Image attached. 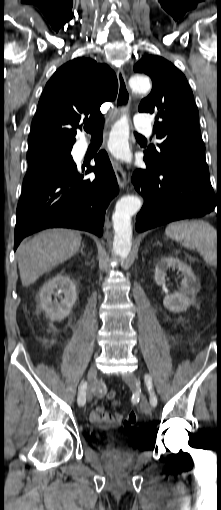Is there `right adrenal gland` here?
Returning <instances> with one entry per match:
<instances>
[{
    "mask_svg": "<svg viewBox=\"0 0 221 510\" xmlns=\"http://www.w3.org/2000/svg\"><path fill=\"white\" fill-rule=\"evenodd\" d=\"M83 249H84V244H82V247H81V249H80V253H81L82 255H85V253H84Z\"/></svg>",
    "mask_w": 221,
    "mask_h": 510,
    "instance_id": "obj_1",
    "label": "right adrenal gland"
}]
</instances>
